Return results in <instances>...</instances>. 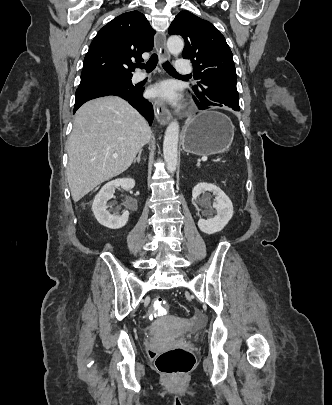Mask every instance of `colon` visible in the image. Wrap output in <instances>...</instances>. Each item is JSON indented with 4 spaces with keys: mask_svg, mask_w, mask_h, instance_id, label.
I'll list each match as a JSON object with an SVG mask.
<instances>
[{
    "mask_svg": "<svg viewBox=\"0 0 332 405\" xmlns=\"http://www.w3.org/2000/svg\"><path fill=\"white\" fill-rule=\"evenodd\" d=\"M168 311L167 300L155 297L152 300L150 314L154 317L166 315ZM156 368L168 376H181L188 373L195 364V356L187 347H176L162 352L154 353Z\"/></svg>",
    "mask_w": 332,
    "mask_h": 405,
    "instance_id": "5ec220e1",
    "label": "colon"
}]
</instances>
